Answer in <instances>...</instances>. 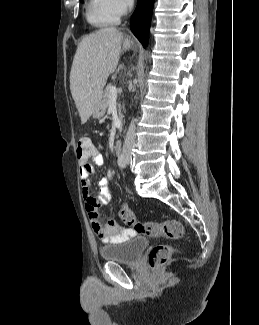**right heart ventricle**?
<instances>
[{
  "label": "right heart ventricle",
  "mask_w": 259,
  "mask_h": 325,
  "mask_svg": "<svg viewBox=\"0 0 259 325\" xmlns=\"http://www.w3.org/2000/svg\"><path fill=\"white\" fill-rule=\"evenodd\" d=\"M85 17L95 27L112 26L118 22V17L109 10L106 0H88Z\"/></svg>",
  "instance_id": "e07e8e85"
}]
</instances>
